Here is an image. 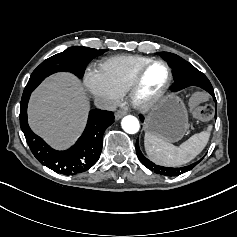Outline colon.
<instances>
[{
  "label": "colon",
  "mask_w": 237,
  "mask_h": 237,
  "mask_svg": "<svg viewBox=\"0 0 237 237\" xmlns=\"http://www.w3.org/2000/svg\"><path fill=\"white\" fill-rule=\"evenodd\" d=\"M208 98L206 92H197L189 100V107L192 117L201 122L210 121L214 116V109L211 105H203Z\"/></svg>",
  "instance_id": "5ec220e1"
}]
</instances>
